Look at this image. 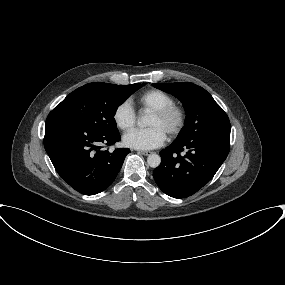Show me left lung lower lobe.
<instances>
[{"label": "left lung lower lobe", "instance_id": "1", "mask_svg": "<svg viewBox=\"0 0 285 285\" xmlns=\"http://www.w3.org/2000/svg\"><path fill=\"white\" fill-rule=\"evenodd\" d=\"M230 138L202 136L176 141L160 152L161 164L153 177L159 188L174 198H186L206 185L226 159ZM185 151L183 155L181 152Z\"/></svg>", "mask_w": 285, "mask_h": 285}]
</instances>
